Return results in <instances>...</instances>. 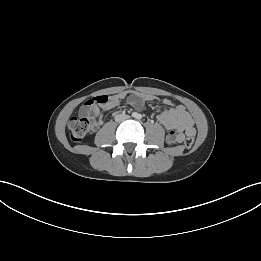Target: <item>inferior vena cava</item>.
<instances>
[{
  "mask_svg": "<svg viewBox=\"0 0 261 261\" xmlns=\"http://www.w3.org/2000/svg\"><path fill=\"white\" fill-rule=\"evenodd\" d=\"M127 118H128V115L121 114V115H117V116L115 117V121L121 122V121H124V120L127 119Z\"/></svg>",
  "mask_w": 261,
  "mask_h": 261,
  "instance_id": "inferior-vena-cava-1",
  "label": "inferior vena cava"
}]
</instances>
